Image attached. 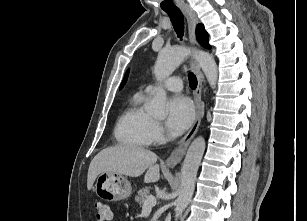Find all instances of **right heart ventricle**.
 I'll return each mask as SVG.
<instances>
[{"label": "right heart ventricle", "instance_id": "e07e8e85", "mask_svg": "<svg viewBox=\"0 0 307 221\" xmlns=\"http://www.w3.org/2000/svg\"><path fill=\"white\" fill-rule=\"evenodd\" d=\"M143 101L142 94H135L119 117L114 129L118 144L144 148L153 143L154 120L145 111Z\"/></svg>", "mask_w": 307, "mask_h": 221}]
</instances>
